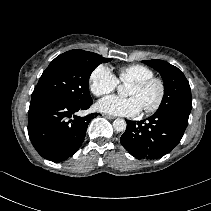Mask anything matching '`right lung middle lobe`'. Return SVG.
<instances>
[{
    "mask_svg": "<svg viewBox=\"0 0 211 211\" xmlns=\"http://www.w3.org/2000/svg\"><path fill=\"white\" fill-rule=\"evenodd\" d=\"M111 58L84 51L70 50L56 57L43 72L32 93V99H55L74 105L92 101L89 77L102 62Z\"/></svg>",
    "mask_w": 211,
    "mask_h": 211,
    "instance_id": "1",
    "label": "right lung middle lobe"
}]
</instances>
